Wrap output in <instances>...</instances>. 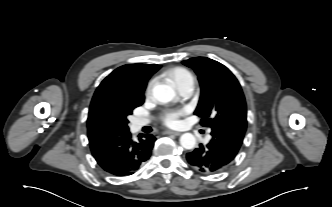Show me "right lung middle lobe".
<instances>
[{
  "label": "right lung middle lobe",
  "mask_w": 332,
  "mask_h": 207,
  "mask_svg": "<svg viewBox=\"0 0 332 207\" xmlns=\"http://www.w3.org/2000/svg\"><path fill=\"white\" fill-rule=\"evenodd\" d=\"M143 102L144 96H122L100 110L97 121L112 135L121 134L129 130L127 116Z\"/></svg>",
  "instance_id": "right-lung-middle-lobe-1"
}]
</instances>
